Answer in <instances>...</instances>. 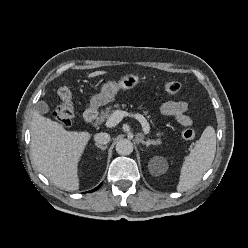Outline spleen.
I'll list each match as a JSON object with an SVG mask.
<instances>
[{"instance_id":"obj_1","label":"spleen","mask_w":248,"mask_h":248,"mask_svg":"<svg viewBox=\"0 0 248 248\" xmlns=\"http://www.w3.org/2000/svg\"><path fill=\"white\" fill-rule=\"evenodd\" d=\"M216 152V134L207 126L181 167L178 192H185L195 186L210 168Z\"/></svg>"}]
</instances>
